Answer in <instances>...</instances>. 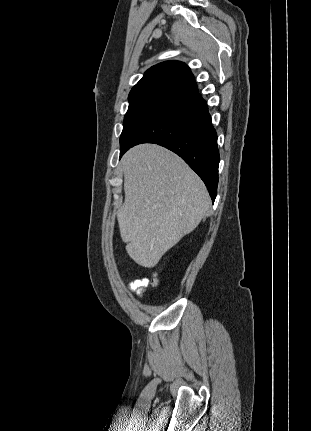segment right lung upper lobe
<instances>
[{
    "instance_id": "obj_1",
    "label": "right lung upper lobe",
    "mask_w": 311,
    "mask_h": 431,
    "mask_svg": "<svg viewBox=\"0 0 311 431\" xmlns=\"http://www.w3.org/2000/svg\"><path fill=\"white\" fill-rule=\"evenodd\" d=\"M147 89L175 94L181 98L198 92L191 70L180 61H166L151 67L131 92Z\"/></svg>"
}]
</instances>
